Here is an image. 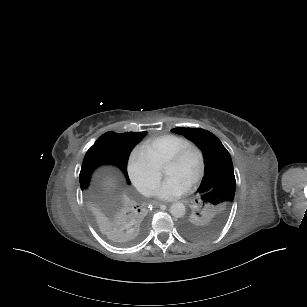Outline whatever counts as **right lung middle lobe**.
Returning a JSON list of instances; mask_svg holds the SVG:
<instances>
[{
  "instance_id": "obj_1",
  "label": "right lung middle lobe",
  "mask_w": 307,
  "mask_h": 307,
  "mask_svg": "<svg viewBox=\"0 0 307 307\" xmlns=\"http://www.w3.org/2000/svg\"><path fill=\"white\" fill-rule=\"evenodd\" d=\"M109 161L105 151L94 145L87 151L80 172V186L83 189L88 185L92 172L99 166L107 164Z\"/></svg>"
}]
</instances>
